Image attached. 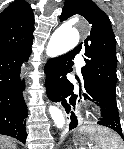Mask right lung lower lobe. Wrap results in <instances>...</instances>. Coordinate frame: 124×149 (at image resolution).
Wrapping results in <instances>:
<instances>
[{"label": "right lung lower lobe", "instance_id": "1", "mask_svg": "<svg viewBox=\"0 0 124 149\" xmlns=\"http://www.w3.org/2000/svg\"><path fill=\"white\" fill-rule=\"evenodd\" d=\"M30 53L31 45L0 52V134L22 143L26 141L27 106L22 95L25 83L20 79V70Z\"/></svg>", "mask_w": 124, "mask_h": 149}]
</instances>
